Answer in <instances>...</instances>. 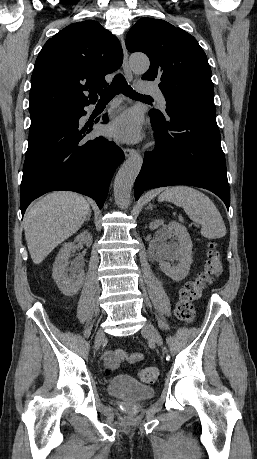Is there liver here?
Segmentation results:
<instances>
[{"mask_svg": "<svg viewBox=\"0 0 257 459\" xmlns=\"http://www.w3.org/2000/svg\"><path fill=\"white\" fill-rule=\"evenodd\" d=\"M90 212L88 202L73 192H53L32 205L24 217L32 261L40 264L56 246L81 228Z\"/></svg>", "mask_w": 257, "mask_h": 459, "instance_id": "liver-1", "label": "liver"}]
</instances>
